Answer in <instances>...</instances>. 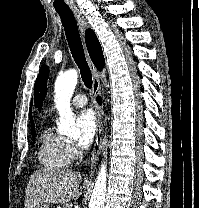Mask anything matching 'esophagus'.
<instances>
[{"mask_svg": "<svg viewBox=\"0 0 199 208\" xmlns=\"http://www.w3.org/2000/svg\"><path fill=\"white\" fill-rule=\"evenodd\" d=\"M72 10L77 19L81 35L83 36L85 30L88 28V23L81 9L74 7L72 8ZM86 54H87V61H88L89 67L93 73L92 99H93V108H94V112L96 116V138H95L94 148L90 157V168L92 170L100 154V147H101V141H102V112H101L100 106L98 105L96 101L97 96L101 89V85H100L99 78L97 76V69L95 68L94 64L90 60L88 53Z\"/></svg>", "mask_w": 199, "mask_h": 208, "instance_id": "1", "label": "esophagus"}]
</instances>
